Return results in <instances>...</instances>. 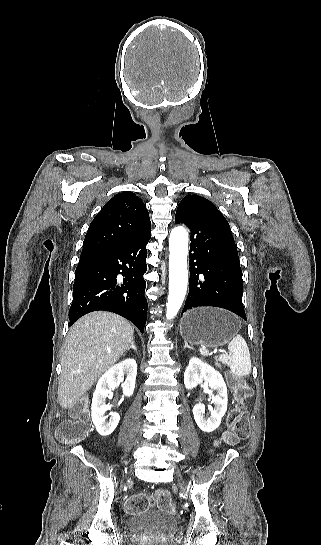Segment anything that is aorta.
Listing matches in <instances>:
<instances>
[{
    "instance_id": "aorta-1",
    "label": "aorta",
    "mask_w": 321,
    "mask_h": 545,
    "mask_svg": "<svg viewBox=\"0 0 321 545\" xmlns=\"http://www.w3.org/2000/svg\"><path fill=\"white\" fill-rule=\"evenodd\" d=\"M188 233L182 226L172 229L169 236V295L167 319H173L184 301L187 284Z\"/></svg>"
}]
</instances>
